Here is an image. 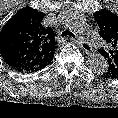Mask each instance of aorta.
I'll return each instance as SVG.
<instances>
[{"label": "aorta", "instance_id": "aorta-1", "mask_svg": "<svg viewBox=\"0 0 118 118\" xmlns=\"http://www.w3.org/2000/svg\"><path fill=\"white\" fill-rule=\"evenodd\" d=\"M63 22L71 30L81 33L86 28V20L75 9H69L63 14ZM87 65L91 71L97 74H102L107 70V60L101 54L90 55L87 60Z\"/></svg>", "mask_w": 118, "mask_h": 118}]
</instances>
